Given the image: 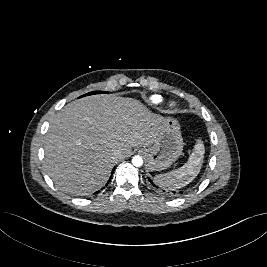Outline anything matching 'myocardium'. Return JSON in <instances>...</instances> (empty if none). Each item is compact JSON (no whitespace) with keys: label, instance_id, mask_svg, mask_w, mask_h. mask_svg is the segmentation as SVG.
Here are the masks:
<instances>
[{"label":"myocardium","instance_id":"f54148a6","mask_svg":"<svg viewBox=\"0 0 267 267\" xmlns=\"http://www.w3.org/2000/svg\"><path fill=\"white\" fill-rule=\"evenodd\" d=\"M173 106H174V104H173V103H171V104H170V108H173Z\"/></svg>","mask_w":267,"mask_h":267}]
</instances>
